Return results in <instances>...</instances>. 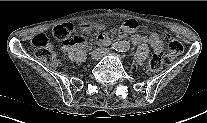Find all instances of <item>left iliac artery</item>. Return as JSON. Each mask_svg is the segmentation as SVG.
<instances>
[{"mask_svg":"<svg viewBox=\"0 0 207 123\" xmlns=\"http://www.w3.org/2000/svg\"><path fill=\"white\" fill-rule=\"evenodd\" d=\"M115 50L118 51V52H126L127 51V49H125V48H122V49L117 48Z\"/></svg>","mask_w":207,"mask_h":123,"instance_id":"left-iliac-artery-1","label":"left iliac artery"}]
</instances>
